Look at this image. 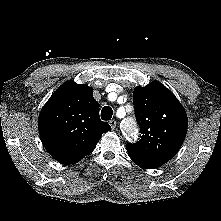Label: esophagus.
I'll return each instance as SVG.
<instances>
[{"mask_svg":"<svg viewBox=\"0 0 221 221\" xmlns=\"http://www.w3.org/2000/svg\"><path fill=\"white\" fill-rule=\"evenodd\" d=\"M109 125L111 126L112 129H115L116 127V121L113 119V120H110L109 121Z\"/></svg>","mask_w":221,"mask_h":221,"instance_id":"34e87169","label":"esophagus"}]
</instances>
